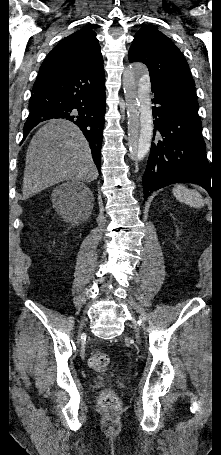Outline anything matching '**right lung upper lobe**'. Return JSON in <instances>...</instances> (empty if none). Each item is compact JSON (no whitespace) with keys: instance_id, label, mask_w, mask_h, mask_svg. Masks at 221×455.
<instances>
[{"instance_id":"cb5924a9","label":"right lung upper lobe","mask_w":221,"mask_h":455,"mask_svg":"<svg viewBox=\"0 0 221 455\" xmlns=\"http://www.w3.org/2000/svg\"><path fill=\"white\" fill-rule=\"evenodd\" d=\"M96 34L85 27L63 39L42 63L33 91L44 83L84 64L102 60Z\"/></svg>"}]
</instances>
